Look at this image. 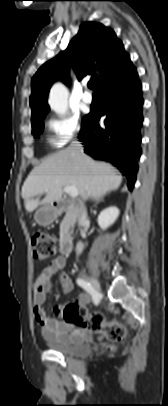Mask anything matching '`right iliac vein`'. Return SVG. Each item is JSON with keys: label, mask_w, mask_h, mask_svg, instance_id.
Listing matches in <instances>:
<instances>
[{"label": "right iliac vein", "mask_w": 168, "mask_h": 406, "mask_svg": "<svg viewBox=\"0 0 168 406\" xmlns=\"http://www.w3.org/2000/svg\"><path fill=\"white\" fill-rule=\"evenodd\" d=\"M89 282L91 283V286L93 287L94 291L96 293H101V287L99 282L97 281V279H95L94 277H87Z\"/></svg>", "instance_id": "obj_1"}]
</instances>
